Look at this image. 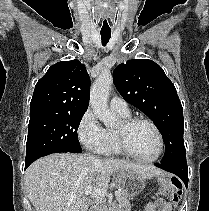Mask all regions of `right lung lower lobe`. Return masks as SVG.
I'll return each mask as SVG.
<instances>
[{"mask_svg":"<svg viewBox=\"0 0 209 211\" xmlns=\"http://www.w3.org/2000/svg\"><path fill=\"white\" fill-rule=\"evenodd\" d=\"M61 152H66V151H61ZM58 153V152H57ZM31 164V163H30ZM30 164H25V168H27Z\"/></svg>","mask_w":209,"mask_h":211,"instance_id":"obj_1","label":"right lung lower lobe"}]
</instances>
